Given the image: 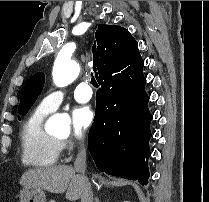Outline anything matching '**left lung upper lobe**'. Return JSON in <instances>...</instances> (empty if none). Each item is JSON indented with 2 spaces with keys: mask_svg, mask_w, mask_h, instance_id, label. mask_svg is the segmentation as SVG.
<instances>
[{
  "mask_svg": "<svg viewBox=\"0 0 209 202\" xmlns=\"http://www.w3.org/2000/svg\"><path fill=\"white\" fill-rule=\"evenodd\" d=\"M45 83V75L41 72L34 74L26 83L18 107V113L25 115L32 107Z\"/></svg>",
  "mask_w": 209,
  "mask_h": 202,
  "instance_id": "obj_1",
  "label": "left lung upper lobe"
}]
</instances>
